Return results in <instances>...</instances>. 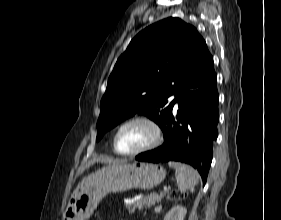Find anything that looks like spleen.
I'll return each instance as SVG.
<instances>
[{
    "label": "spleen",
    "mask_w": 281,
    "mask_h": 220,
    "mask_svg": "<svg viewBox=\"0 0 281 220\" xmlns=\"http://www.w3.org/2000/svg\"><path fill=\"white\" fill-rule=\"evenodd\" d=\"M168 165L175 170L180 191H186L198 184L200 175L191 166L175 161H170Z\"/></svg>",
    "instance_id": "1"
}]
</instances>
